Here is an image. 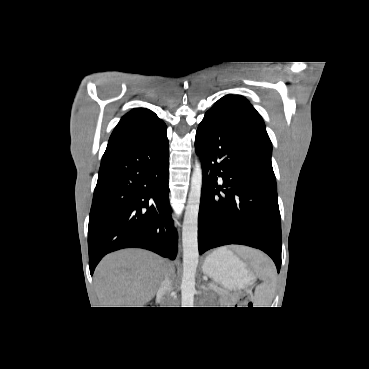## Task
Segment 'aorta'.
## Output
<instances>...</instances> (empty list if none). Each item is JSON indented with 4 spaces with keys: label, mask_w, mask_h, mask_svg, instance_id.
<instances>
[{
    "label": "aorta",
    "mask_w": 369,
    "mask_h": 369,
    "mask_svg": "<svg viewBox=\"0 0 369 369\" xmlns=\"http://www.w3.org/2000/svg\"><path fill=\"white\" fill-rule=\"evenodd\" d=\"M202 165L196 157L191 177L190 192L185 208L182 226L183 275L181 282L182 307H193L195 294V274L198 265V213L202 190Z\"/></svg>",
    "instance_id": "762f6f07"
}]
</instances>
